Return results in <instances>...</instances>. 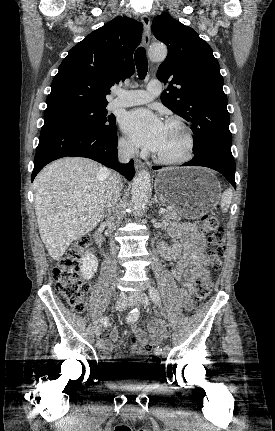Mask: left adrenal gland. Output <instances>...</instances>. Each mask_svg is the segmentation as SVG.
Wrapping results in <instances>:
<instances>
[{"label": "left adrenal gland", "mask_w": 275, "mask_h": 431, "mask_svg": "<svg viewBox=\"0 0 275 431\" xmlns=\"http://www.w3.org/2000/svg\"><path fill=\"white\" fill-rule=\"evenodd\" d=\"M153 203H156V204L158 205V207H160V206H161V204H160V202L158 201V199H157V196H156V195L154 196Z\"/></svg>", "instance_id": "1"}]
</instances>
